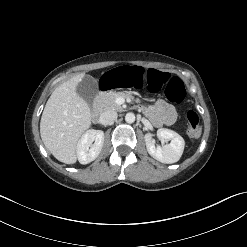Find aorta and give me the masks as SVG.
Listing matches in <instances>:
<instances>
[{"label":"aorta","mask_w":247,"mask_h":247,"mask_svg":"<svg viewBox=\"0 0 247 247\" xmlns=\"http://www.w3.org/2000/svg\"><path fill=\"white\" fill-rule=\"evenodd\" d=\"M125 121L129 124L133 123L135 121V114L132 112H129L125 116Z\"/></svg>","instance_id":"aorta-1"}]
</instances>
